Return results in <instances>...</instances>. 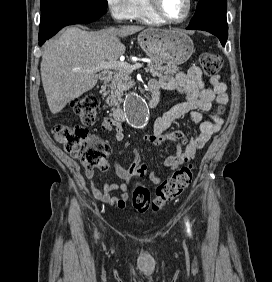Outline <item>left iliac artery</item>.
Returning <instances> with one entry per match:
<instances>
[{
  "mask_svg": "<svg viewBox=\"0 0 272 282\" xmlns=\"http://www.w3.org/2000/svg\"><path fill=\"white\" fill-rule=\"evenodd\" d=\"M186 227H187V232L189 233V235H191L190 224L188 221L186 222Z\"/></svg>",
  "mask_w": 272,
  "mask_h": 282,
  "instance_id": "obj_1",
  "label": "left iliac artery"
}]
</instances>
